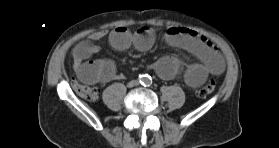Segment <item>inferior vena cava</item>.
Listing matches in <instances>:
<instances>
[{
  "instance_id": "inferior-vena-cava-1",
  "label": "inferior vena cava",
  "mask_w": 279,
  "mask_h": 148,
  "mask_svg": "<svg viewBox=\"0 0 279 148\" xmlns=\"http://www.w3.org/2000/svg\"><path fill=\"white\" fill-rule=\"evenodd\" d=\"M131 84H132L133 86H135V85H137V84H138V81L133 80V81L131 82Z\"/></svg>"
}]
</instances>
